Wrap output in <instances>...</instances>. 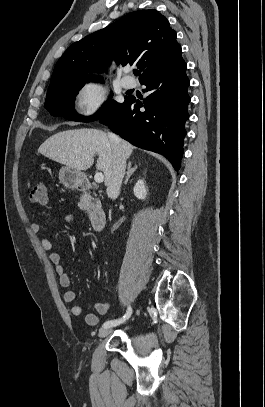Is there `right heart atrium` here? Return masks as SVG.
<instances>
[{"label":"right heart atrium","mask_w":265,"mask_h":407,"mask_svg":"<svg viewBox=\"0 0 265 407\" xmlns=\"http://www.w3.org/2000/svg\"><path fill=\"white\" fill-rule=\"evenodd\" d=\"M77 115L85 120L98 117L106 105V90L96 82H86L78 88L74 98Z\"/></svg>","instance_id":"1"}]
</instances>
